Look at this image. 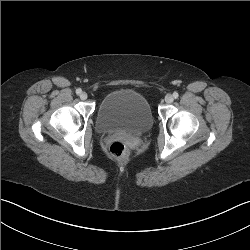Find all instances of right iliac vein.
Listing matches in <instances>:
<instances>
[{"label":"right iliac vein","instance_id":"obj_1","mask_svg":"<svg viewBox=\"0 0 250 250\" xmlns=\"http://www.w3.org/2000/svg\"><path fill=\"white\" fill-rule=\"evenodd\" d=\"M87 97H88V95H87L86 92H82V93L80 94V98H81L82 100H86Z\"/></svg>","mask_w":250,"mask_h":250}]
</instances>
